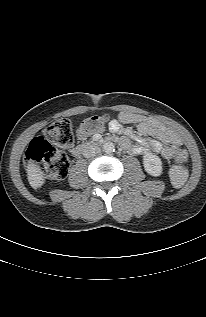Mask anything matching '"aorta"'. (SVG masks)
Returning a JSON list of instances; mask_svg holds the SVG:
<instances>
[{
    "label": "aorta",
    "instance_id": "762f6f07",
    "mask_svg": "<svg viewBox=\"0 0 206 317\" xmlns=\"http://www.w3.org/2000/svg\"><path fill=\"white\" fill-rule=\"evenodd\" d=\"M103 151L107 154H110L115 151V145L112 142H106L102 147Z\"/></svg>",
    "mask_w": 206,
    "mask_h": 317
}]
</instances>
